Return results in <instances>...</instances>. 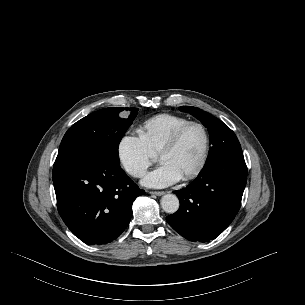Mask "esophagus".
I'll use <instances>...</instances> for the list:
<instances>
[{
	"mask_svg": "<svg viewBox=\"0 0 305 305\" xmlns=\"http://www.w3.org/2000/svg\"><path fill=\"white\" fill-rule=\"evenodd\" d=\"M149 194L156 195V196H161V195H164L165 192L164 191H150Z\"/></svg>",
	"mask_w": 305,
	"mask_h": 305,
	"instance_id": "esophagus-1",
	"label": "esophagus"
}]
</instances>
